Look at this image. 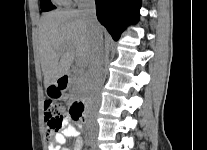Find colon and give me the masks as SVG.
<instances>
[{
  "instance_id": "5ec220e1",
  "label": "colon",
  "mask_w": 207,
  "mask_h": 150,
  "mask_svg": "<svg viewBox=\"0 0 207 150\" xmlns=\"http://www.w3.org/2000/svg\"><path fill=\"white\" fill-rule=\"evenodd\" d=\"M67 113L66 105L54 99L45 102V123L49 133L57 132L62 129ZM72 117L79 119L81 114L72 107Z\"/></svg>"
}]
</instances>
